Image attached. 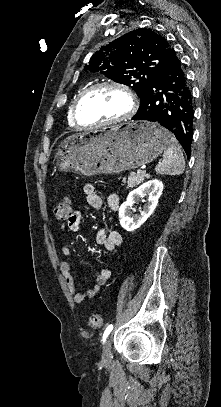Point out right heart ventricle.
I'll use <instances>...</instances> for the list:
<instances>
[{
  "label": "right heart ventricle",
  "mask_w": 221,
  "mask_h": 407,
  "mask_svg": "<svg viewBox=\"0 0 221 407\" xmlns=\"http://www.w3.org/2000/svg\"><path fill=\"white\" fill-rule=\"evenodd\" d=\"M83 91H84L83 89L77 91V92L75 93V95L72 97L71 102H70V104H69V106H68V123H69L70 125L73 124V121H72V118H71L72 108H73V106H74V103H75L76 99L78 98V96H79Z\"/></svg>",
  "instance_id": "obj_1"
}]
</instances>
